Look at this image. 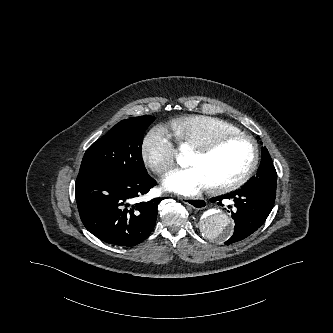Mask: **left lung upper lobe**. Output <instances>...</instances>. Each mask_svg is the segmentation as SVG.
<instances>
[{"instance_id":"5c2ea615","label":"left lung upper lobe","mask_w":333,"mask_h":333,"mask_svg":"<svg viewBox=\"0 0 333 333\" xmlns=\"http://www.w3.org/2000/svg\"><path fill=\"white\" fill-rule=\"evenodd\" d=\"M262 158L256 176L252 177L243 188L265 189L276 192L277 173L272 163L270 154L262 147Z\"/></svg>"}]
</instances>
